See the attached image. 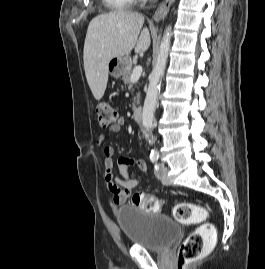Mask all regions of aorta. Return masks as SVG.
Listing matches in <instances>:
<instances>
[{
  "label": "aorta",
  "instance_id": "aorta-1",
  "mask_svg": "<svg viewBox=\"0 0 265 269\" xmlns=\"http://www.w3.org/2000/svg\"><path fill=\"white\" fill-rule=\"evenodd\" d=\"M172 31L171 26L167 27L162 37V41L159 47L156 64L149 77V86L144 101L142 111V126L145 129V137L149 140V143H153L151 138V129L154 120V112L157 105L161 79L164 75L167 59L170 50ZM151 154L157 156V150H152Z\"/></svg>",
  "mask_w": 265,
  "mask_h": 269
}]
</instances>
